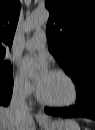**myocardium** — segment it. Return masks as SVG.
I'll use <instances>...</instances> for the list:
<instances>
[{"instance_id":"1","label":"myocardium","mask_w":95,"mask_h":130,"mask_svg":"<svg viewBox=\"0 0 95 130\" xmlns=\"http://www.w3.org/2000/svg\"><path fill=\"white\" fill-rule=\"evenodd\" d=\"M51 73L61 75L68 80V82L71 84L72 89H73V97L70 101L64 102V103L50 101L42 95L40 89L38 88L37 89L38 100L45 105L53 106V107H69V106L74 105L77 102L78 97H79V90H78V86L75 80L67 72H65L62 69H53Z\"/></svg>"}]
</instances>
